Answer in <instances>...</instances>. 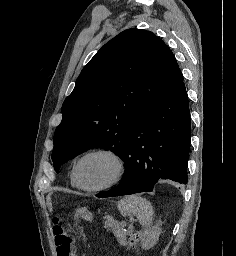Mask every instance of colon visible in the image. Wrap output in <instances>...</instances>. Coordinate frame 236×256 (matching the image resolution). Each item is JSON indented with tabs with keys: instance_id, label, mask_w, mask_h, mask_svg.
<instances>
[{
	"instance_id": "obj_1",
	"label": "colon",
	"mask_w": 236,
	"mask_h": 256,
	"mask_svg": "<svg viewBox=\"0 0 236 256\" xmlns=\"http://www.w3.org/2000/svg\"><path fill=\"white\" fill-rule=\"evenodd\" d=\"M53 234L54 243L56 246V255L74 256L71 248L72 239L70 235L66 232L61 218L58 216L53 219Z\"/></svg>"
}]
</instances>
